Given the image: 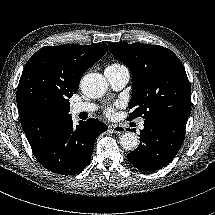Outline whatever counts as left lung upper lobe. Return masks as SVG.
Instances as JSON below:
<instances>
[{
    "label": "left lung upper lobe",
    "mask_w": 215,
    "mask_h": 215,
    "mask_svg": "<svg viewBox=\"0 0 215 215\" xmlns=\"http://www.w3.org/2000/svg\"><path fill=\"white\" fill-rule=\"evenodd\" d=\"M109 51L132 74L129 120L186 116L191 112V88L179 58L162 46L108 43Z\"/></svg>",
    "instance_id": "left-lung-upper-lobe-1"
}]
</instances>
